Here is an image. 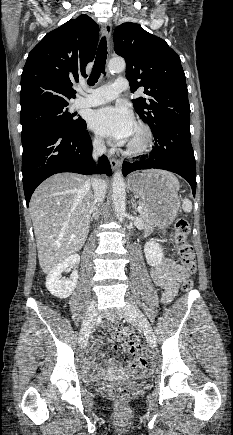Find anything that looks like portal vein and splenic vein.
Masks as SVG:
<instances>
[{
    "label": "portal vein and splenic vein",
    "mask_w": 233,
    "mask_h": 435,
    "mask_svg": "<svg viewBox=\"0 0 233 435\" xmlns=\"http://www.w3.org/2000/svg\"><path fill=\"white\" fill-rule=\"evenodd\" d=\"M137 210H138V212H140V211L142 210V206H139V207L137 208ZM75 237H76L75 234H72V235H71V238H75Z\"/></svg>",
    "instance_id": "obj_1"
}]
</instances>
